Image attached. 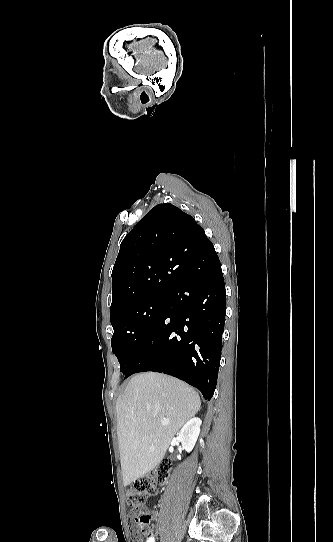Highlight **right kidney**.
<instances>
[{
  "label": "right kidney",
  "mask_w": 333,
  "mask_h": 542,
  "mask_svg": "<svg viewBox=\"0 0 333 542\" xmlns=\"http://www.w3.org/2000/svg\"><path fill=\"white\" fill-rule=\"evenodd\" d=\"M202 422L200 418H191L178 434V442H181L183 450L192 452L200 434V426Z\"/></svg>",
  "instance_id": "1"
}]
</instances>
